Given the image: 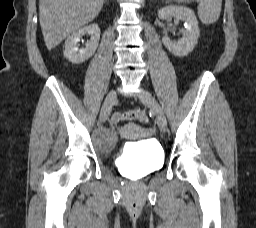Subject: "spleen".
Instances as JSON below:
<instances>
[{"label": "spleen", "mask_w": 256, "mask_h": 228, "mask_svg": "<svg viewBox=\"0 0 256 228\" xmlns=\"http://www.w3.org/2000/svg\"><path fill=\"white\" fill-rule=\"evenodd\" d=\"M178 1V0H177ZM198 16L202 23L211 25L215 23L221 13L222 0H197Z\"/></svg>", "instance_id": "spleen-1"}]
</instances>
